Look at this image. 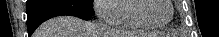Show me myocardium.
I'll list each match as a JSON object with an SVG mask.
<instances>
[{"instance_id":"1","label":"myocardium","mask_w":219,"mask_h":37,"mask_svg":"<svg viewBox=\"0 0 219 37\" xmlns=\"http://www.w3.org/2000/svg\"><path fill=\"white\" fill-rule=\"evenodd\" d=\"M145 1H147V0H134V4H133V8H132V14H133L134 18L140 24H142L146 27H149V28L157 29V28H162L171 22V20L173 19V16H174V7L172 4V1L166 0V2L168 3V5L170 7V16L166 21L161 22V23H155V22L149 21L148 19H146L143 16L142 9H143V5H144Z\"/></svg>"}]
</instances>
